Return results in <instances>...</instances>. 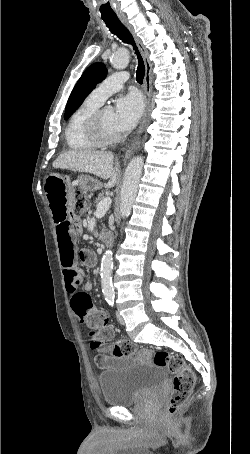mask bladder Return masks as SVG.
I'll return each instance as SVG.
<instances>
[{"label":"bladder","instance_id":"obj_1","mask_svg":"<svg viewBox=\"0 0 250 454\" xmlns=\"http://www.w3.org/2000/svg\"><path fill=\"white\" fill-rule=\"evenodd\" d=\"M121 367L98 375L103 401L107 405L126 407L159 390L165 381L164 369L156 364L133 361L129 356Z\"/></svg>","mask_w":250,"mask_h":454}]
</instances>
